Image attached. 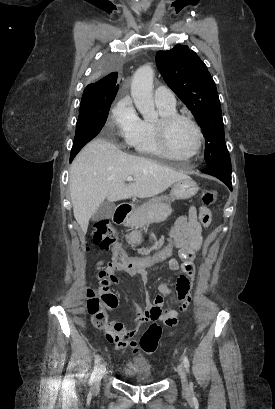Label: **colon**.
<instances>
[{
  "mask_svg": "<svg viewBox=\"0 0 275 409\" xmlns=\"http://www.w3.org/2000/svg\"><path fill=\"white\" fill-rule=\"evenodd\" d=\"M216 200L217 193L214 190L203 191L201 199L203 205H212ZM86 243L88 247L93 246L104 251L110 250L115 255L111 257L109 266L105 268L103 265L98 266V283L86 288V311L91 316L94 328L103 330L105 325L113 323L108 318L107 310L117 304L116 296L109 291V287L117 283L116 277L113 276L116 270H125L126 274H141L146 261L149 262L146 266L153 268L155 261L163 262L171 257L172 247L170 243L164 245L159 251L153 253L152 259L148 260L141 257L124 256L122 245L117 241V232L109 221H98L91 230Z\"/></svg>",
  "mask_w": 275,
  "mask_h": 409,
  "instance_id": "colon-1",
  "label": "colon"
}]
</instances>
